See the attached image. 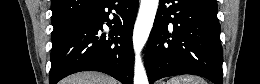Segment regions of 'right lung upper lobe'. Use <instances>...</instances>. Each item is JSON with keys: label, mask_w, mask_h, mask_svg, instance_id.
<instances>
[{"label": "right lung upper lobe", "mask_w": 260, "mask_h": 84, "mask_svg": "<svg viewBox=\"0 0 260 84\" xmlns=\"http://www.w3.org/2000/svg\"><path fill=\"white\" fill-rule=\"evenodd\" d=\"M100 0H52V25L66 26L92 9Z\"/></svg>", "instance_id": "1"}]
</instances>
